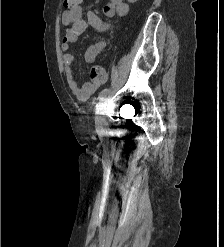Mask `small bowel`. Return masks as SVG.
Listing matches in <instances>:
<instances>
[{"label": "small bowel", "mask_w": 224, "mask_h": 247, "mask_svg": "<svg viewBox=\"0 0 224 247\" xmlns=\"http://www.w3.org/2000/svg\"><path fill=\"white\" fill-rule=\"evenodd\" d=\"M129 11V6L123 0H109L103 8V12L107 17L118 15L120 17L126 16ZM62 24L67 27L65 35L62 39L63 54V71L66 81L71 92L80 100H87L100 86L99 82H86L79 85L73 76L72 62L73 55L68 52L72 43H74L78 36L82 34L89 26L93 27L99 32L107 31L111 25L104 22L99 16L91 10L86 12L83 17V10L81 6L69 9L63 12L61 17ZM106 45L104 39L96 42L90 46L84 53V60L86 63L95 61L99 53Z\"/></svg>", "instance_id": "obj_1"}]
</instances>
